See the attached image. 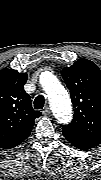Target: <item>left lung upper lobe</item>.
<instances>
[{
  "label": "left lung upper lobe",
  "mask_w": 101,
  "mask_h": 180,
  "mask_svg": "<svg viewBox=\"0 0 101 180\" xmlns=\"http://www.w3.org/2000/svg\"><path fill=\"white\" fill-rule=\"evenodd\" d=\"M61 75L74 105V117L63 126L66 137L93 145L101 142V70L88 59H78Z\"/></svg>",
  "instance_id": "5c2ea615"
}]
</instances>
